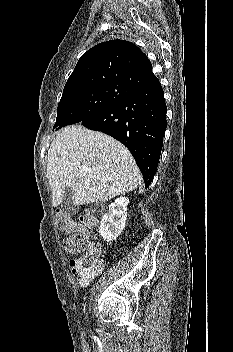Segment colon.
<instances>
[{"label":"colon","instance_id":"obj_1","mask_svg":"<svg viewBox=\"0 0 233 352\" xmlns=\"http://www.w3.org/2000/svg\"><path fill=\"white\" fill-rule=\"evenodd\" d=\"M58 227L69 235L64 240V247L70 254H81V257L73 260L72 272L80 281H87L102 270V263L98 259L100 247L90 241L87 229L94 228L97 224L96 217L91 213H85L78 221L65 215L59 216Z\"/></svg>","mask_w":233,"mask_h":352}]
</instances>
